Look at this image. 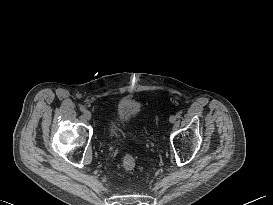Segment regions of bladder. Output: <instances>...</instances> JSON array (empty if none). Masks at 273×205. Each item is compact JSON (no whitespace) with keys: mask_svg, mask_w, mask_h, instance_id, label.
<instances>
[{"mask_svg":"<svg viewBox=\"0 0 273 205\" xmlns=\"http://www.w3.org/2000/svg\"><path fill=\"white\" fill-rule=\"evenodd\" d=\"M141 110V104L131 98L118 101L114 108V118L108 124V136L113 142H119L124 137L121 124L128 123L136 117Z\"/></svg>","mask_w":273,"mask_h":205,"instance_id":"obj_1","label":"bladder"}]
</instances>
